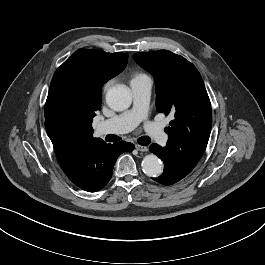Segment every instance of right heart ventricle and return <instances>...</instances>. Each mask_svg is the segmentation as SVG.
<instances>
[{
	"label": "right heart ventricle",
	"mask_w": 265,
	"mask_h": 265,
	"mask_svg": "<svg viewBox=\"0 0 265 265\" xmlns=\"http://www.w3.org/2000/svg\"><path fill=\"white\" fill-rule=\"evenodd\" d=\"M144 76H147L146 74L142 73V72H135L133 75H132V80H136V79H140Z\"/></svg>",
	"instance_id": "e07e8e85"
}]
</instances>
